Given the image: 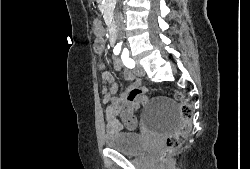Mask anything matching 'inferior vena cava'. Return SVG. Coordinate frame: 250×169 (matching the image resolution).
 Masks as SVG:
<instances>
[{
  "label": "inferior vena cava",
  "instance_id": "obj_1",
  "mask_svg": "<svg viewBox=\"0 0 250 169\" xmlns=\"http://www.w3.org/2000/svg\"><path fill=\"white\" fill-rule=\"evenodd\" d=\"M115 18H116V24H117L118 28H120V30H121L122 24H123V22H122V14H120V12H116Z\"/></svg>",
  "mask_w": 250,
  "mask_h": 169
}]
</instances>
